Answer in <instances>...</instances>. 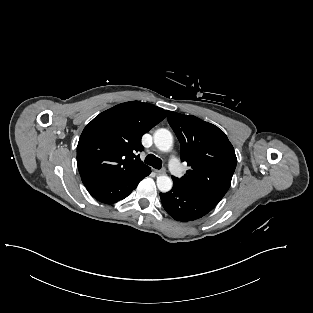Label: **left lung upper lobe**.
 Masks as SVG:
<instances>
[{
	"mask_svg": "<svg viewBox=\"0 0 313 313\" xmlns=\"http://www.w3.org/2000/svg\"><path fill=\"white\" fill-rule=\"evenodd\" d=\"M167 119L181 145V160L190 170L172 176L187 191L220 202L228 191L237 158L226 134L217 126L192 115L167 112Z\"/></svg>",
	"mask_w": 313,
	"mask_h": 313,
	"instance_id": "left-lung-upper-lobe-1",
	"label": "left lung upper lobe"
}]
</instances>
